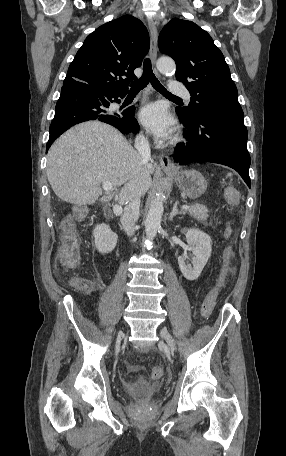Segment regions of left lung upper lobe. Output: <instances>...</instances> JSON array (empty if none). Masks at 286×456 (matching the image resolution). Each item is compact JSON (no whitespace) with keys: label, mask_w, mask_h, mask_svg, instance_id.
<instances>
[{"label":"left lung upper lobe","mask_w":286,"mask_h":456,"mask_svg":"<svg viewBox=\"0 0 286 456\" xmlns=\"http://www.w3.org/2000/svg\"><path fill=\"white\" fill-rule=\"evenodd\" d=\"M158 45L175 60L176 79L192 96L188 107H177L187 118L206 110L244 117L229 67L205 30L192 21L174 18L160 32Z\"/></svg>","instance_id":"5c2ea615"}]
</instances>
